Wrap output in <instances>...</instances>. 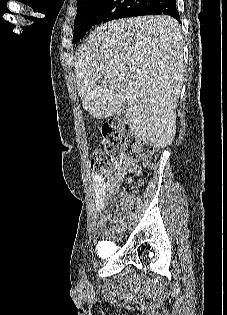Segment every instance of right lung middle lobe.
<instances>
[{
  "mask_svg": "<svg viewBox=\"0 0 227 315\" xmlns=\"http://www.w3.org/2000/svg\"><path fill=\"white\" fill-rule=\"evenodd\" d=\"M151 0H77L73 41L77 43L94 24L125 18Z\"/></svg>",
  "mask_w": 227,
  "mask_h": 315,
  "instance_id": "dd1d6c3e",
  "label": "right lung middle lobe"
}]
</instances>
